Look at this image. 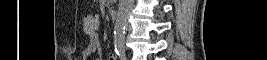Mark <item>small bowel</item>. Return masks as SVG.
<instances>
[{"label":"small bowel","mask_w":267,"mask_h":60,"mask_svg":"<svg viewBox=\"0 0 267 60\" xmlns=\"http://www.w3.org/2000/svg\"><path fill=\"white\" fill-rule=\"evenodd\" d=\"M101 53H102V49H101L98 34L96 32H93L89 34L88 45L83 52L84 57L85 59H89L93 55L100 56ZM108 60H116V56L112 54L108 57Z\"/></svg>","instance_id":"1"}]
</instances>
